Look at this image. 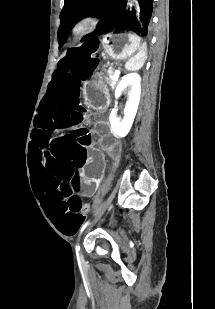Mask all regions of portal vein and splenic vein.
Wrapping results in <instances>:
<instances>
[{
    "label": "portal vein and splenic vein",
    "mask_w": 215,
    "mask_h": 309,
    "mask_svg": "<svg viewBox=\"0 0 215 309\" xmlns=\"http://www.w3.org/2000/svg\"><path fill=\"white\" fill-rule=\"evenodd\" d=\"M120 74V70H114V76H112V78H114V80H116V78H118Z\"/></svg>",
    "instance_id": "18ae733b"
}]
</instances>
